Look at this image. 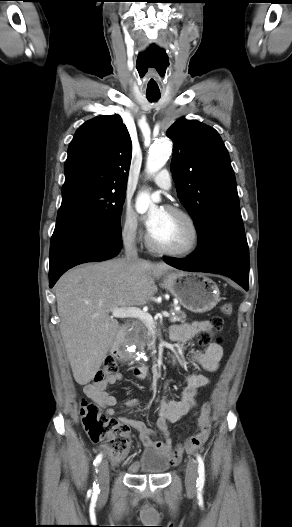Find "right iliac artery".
I'll use <instances>...</instances> for the list:
<instances>
[{
	"label": "right iliac artery",
	"mask_w": 292,
	"mask_h": 527,
	"mask_svg": "<svg viewBox=\"0 0 292 527\" xmlns=\"http://www.w3.org/2000/svg\"><path fill=\"white\" fill-rule=\"evenodd\" d=\"M101 460H102V454H98L96 456L95 460H94V463H93L94 466L97 467L100 464ZM93 491L95 493H99V491H100V489H99V487H98V485L96 483H94Z\"/></svg>",
	"instance_id": "1"
}]
</instances>
